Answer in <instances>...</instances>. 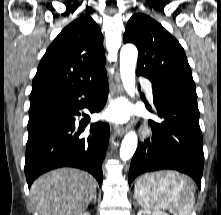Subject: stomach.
<instances>
[{
  "label": "stomach",
  "mask_w": 221,
  "mask_h": 215,
  "mask_svg": "<svg viewBox=\"0 0 221 215\" xmlns=\"http://www.w3.org/2000/svg\"><path fill=\"white\" fill-rule=\"evenodd\" d=\"M165 175V172H158L155 174H149V175H145V177H153L154 181H157L159 178L163 177Z\"/></svg>",
  "instance_id": "obj_1"
}]
</instances>
